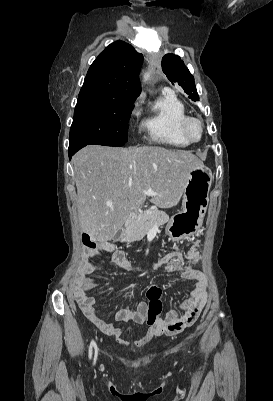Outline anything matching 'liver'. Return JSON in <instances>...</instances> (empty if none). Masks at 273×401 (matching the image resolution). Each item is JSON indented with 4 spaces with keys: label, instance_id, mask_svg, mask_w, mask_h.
<instances>
[{
    "label": "liver",
    "instance_id": "liver-1",
    "mask_svg": "<svg viewBox=\"0 0 273 401\" xmlns=\"http://www.w3.org/2000/svg\"><path fill=\"white\" fill-rule=\"evenodd\" d=\"M82 233L94 241H110L122 229L131 211L145 203L160 209L178 205L188 170L202 164L192 150L162 146H84L73 156Z\"/></svg>",
    "mask_w": 273,
    "mask_h": 401
}]
</instances>
